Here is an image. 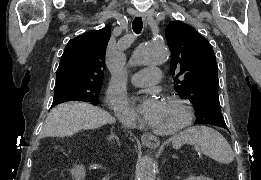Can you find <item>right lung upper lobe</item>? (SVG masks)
<instances>
[{"mask_svg":"<svg viewBox=\"0 0 261 180\" xmlns=\"http://www.w3.org/2000/svg\"><path fill=\"white\" fill-rule=\"evenodd\" d=\"M110 34V28L104 27L70 40L61 57L55 85L68 82L102 83Z\"/></svg>","mask_w":261,"mask_h":180,"instance_id":"obj_1","label":"right lung upper lobe"}]
</instances>
